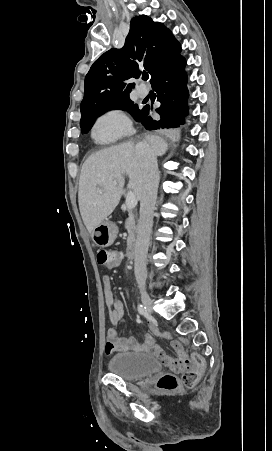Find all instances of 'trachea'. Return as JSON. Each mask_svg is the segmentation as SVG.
Wrapping results in <instances>:
<instances>
[{"mask_svg":"<svg viewBox=\"0 0 272 451\" xmlns=\"http://www.w3.org/2000/svg\"><path fill=\"white\" fill-rule=\"evenodd\" d=\"M148 78H149L148 73H143L142 79L143 80H148Z\"/></svg>","mask_w":272,"mask_h":451,"instance_id":"obj_1","label":"trachea"}]
</instances>
